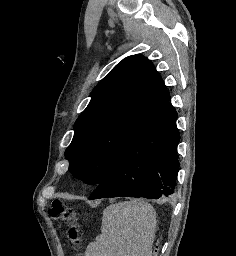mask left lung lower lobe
<instances>
[{"mask_svg": "<svg viewBox=\"0 0 236 256\" xmlns=\"http://www.w3.org/2000/svg\"><path fill=\"white\" fill-rule=\"evenodd\" d=\"M177 112L168 102L133 132L116 164L89 199L106 197L159 198L173 193L179 161Z\"/></svg>", "mask_w": 236, "mask_h": 256, "instance_id": "obj_1", "label": "left lung lower lobe"}]
</instances>
